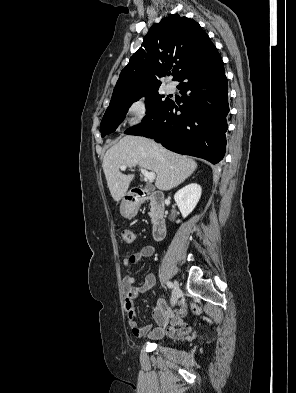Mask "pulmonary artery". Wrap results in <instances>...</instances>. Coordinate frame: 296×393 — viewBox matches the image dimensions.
Wrapping results in <instances>:
<instances>
[{"mask_svg": "<svg viewBox=\"0 0 296 393\" xmlns=\"http://www.w3.org/2000/svg\"><path fill=\"white\" fill-rule=\"evenodd\" d=\"M166 93H172L174 91V87L171 84H168L165 88Z\"/></svg>", "mask_w": 296, "mask_h": 393, "instance_id": "1", "label": "pulmonary artery"}]
</instances>
